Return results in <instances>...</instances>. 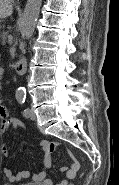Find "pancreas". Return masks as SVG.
Instances as JSON below:
<instances>
[{
	"label": "pancreas",
	"instance_id": "pancreas-1",
	"mask_svg": "<svg viewBox=\"0 0 119 185\" xmlns=\"http://www.w3.org/2000/svg\"><path fill=\"white\" fill-rule=\"evenodd\" d=\"M8 35H9V32H5V31L0 34V39H1L0 41L2 45L6 44Z\"/></svg>",
	"mask_w": 119,
	"mask_h": 185
}]
</instances>
